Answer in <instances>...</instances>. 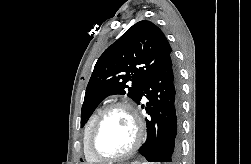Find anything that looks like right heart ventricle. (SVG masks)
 Wrapping results in <instances>:
<instances>
[{"mask_svg": "<svg viewBox=\"0 0 251 164\" xmlns=\"http://www.w3.org/2000/svg\"><path fill=\"white\" fill-rule=\"evenodd\" d=\"M103 109L102 108H98L96 109L92 115L89 117L88 121L86 122V125L84 127V133H83V144H84V154H85V158L86 160L91 163V164H94L96 162H98L96 159H94L89 151H88V147H87V144H88V138H89V134H90V131H91V128L96 120V118L98 117V115L101 113Z\"/></svg>", "mask_w": 251, "mask_h": 164, "instance_id": "1", "label": "right heart ventricle"}]
</instances>
